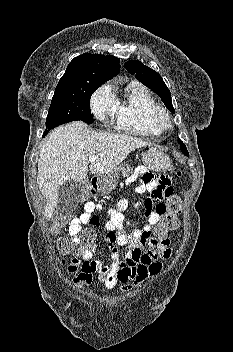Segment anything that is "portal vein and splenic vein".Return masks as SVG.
<instances>
[{
	"instance_id": "18ae733b",
	"label": "portal vein and splenic vein",
	"mask_w": 233,
	"mask_h": 352,
	"mask_svg": "<svg viewBox=\"0 0 233 352\" xmlns=\"http://www.w3.org/2000/svg\"><path fill=\"white\" fill-rule=\"evenodd\" d=\"M96 159H97L96 156H90V157L88 158V160H89L90 162H94Z\"/></svg>"
}]
</instances>
